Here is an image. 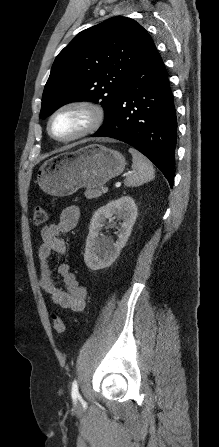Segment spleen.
<instances>
[{
    "instance_id": "3e777b00",
    "label": "spleen",
    "mask_w": 219,
    "mask_h": 447,
    "mask_svg": "<svg viewBox=\"0 0 219 447\" xmlns=\"http://www.w3.org/2000/svg\"><path fill=\"white\" fill-rule=\"evenodd\" d=\"M129 152L132 154V173L124 180L127 187L140 186L154 178V168L152 163L140 152L130 148Z\"/></svg>"
}]
</instances>
